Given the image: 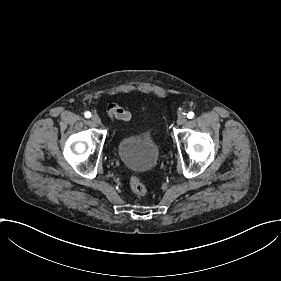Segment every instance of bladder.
<instances>
[{"label": "bladder", "instance_id": "31cf9c89", "mask_svg": "<svg viewBox=\"0 0 281 281\" xmlns=\"http://www.w3.org/2000/svg\"><path fill=\"white\" fill-rule=\"evenodd\" d=\"M117 151L125 165L137 170L149 169L158 157L157 145L149 134L123 137Z\"/></svg>", "mask_w": 281, "mask_h": 281}]
</instances>
